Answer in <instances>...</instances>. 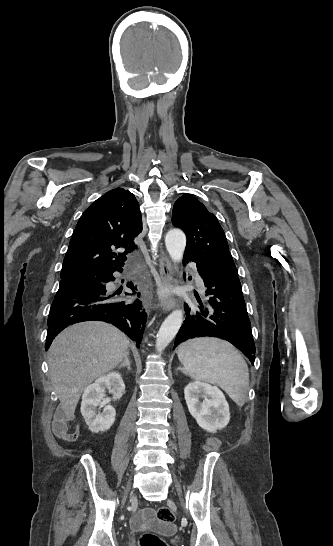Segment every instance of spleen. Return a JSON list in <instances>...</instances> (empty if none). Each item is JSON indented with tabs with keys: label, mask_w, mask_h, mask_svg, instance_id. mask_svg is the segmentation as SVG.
<instances>
[{
	"label": "spleen",
	"mask_w": 333,
	"mask_h": 546,
	"mask_svg": "<svg viewBox=\"0 0 333 546\" xmlns=\"http://www.w3.org/2000/svg\"><path fill=\"white\" fill-rule=\"evenodd\" d=\"M178 359L193 379L220 386L238 406L244 405L248 366L230 343L212 337L191 339L179 346Z\"/></svg>",
	"instance_id": "3e777b00"
}]
</instances>
